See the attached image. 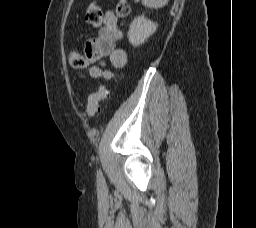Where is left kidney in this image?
Segmentation results:
<instances>
[{"label": "left kidney", "mask_w": 256, "mask_h": 228, "mask_svg": "<svg viewBox=\"0 0 256 228\" xmlns=\"http://www.w3.org/2000/svg\"><path fill=\"white\" fill-rule=\"evenodd\" d=\"M157 29V24L143 15L136 17L130 24L128 31L129 42L133 46L142 45Z\"/></svg>", "instance_id": "obj_1"}]
</instances>
